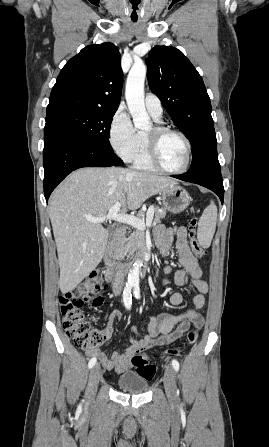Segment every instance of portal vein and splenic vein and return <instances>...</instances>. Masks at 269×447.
I'll use <instances>...</instances> for the list:
<instances>
[{"label": "portal vein and splenic vein", "mask_w": 269, "mask_h": 447, "mask_svg": "<svg viewBox=\"0 0 269 447\" xmlns=\"http://www.w3.org/2000/svg\"><path fill=\"white\" fill-rule=\"evenodd\" d=\"M120 208V202H116L115 206L109 210L107 216H100V218L85 216V218L88 222H94V224H103L106 220H115V222H122V224L133 225V227H137V229H146L147 226H150L153 223L155 209L153 204L148 206L149 210L146 214L145 220H139V218H135V216H128V214H118Z\"/></svg>", "instance_id": "portal-vein-and-splenic-vein-1"}]
</instances>
